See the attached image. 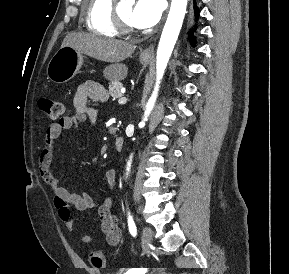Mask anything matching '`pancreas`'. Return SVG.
<instances>
[{
    "label": "pancreas",
    "instance_id": "obj_1",
    "mask_svg": "<svg viewBox=\"0 0 289 274\" xmlns=\"http://www.w3.org/2000/svg\"><path fill=\"white\" fill-rule=\"evenodd\" d=\"M121 88H122V84L121 83H119V82L112 83L109 86V92L108 93L113 99L120 98L122 96Z\"/></svg>",
    "mask_w": 289,
    "mask_h": 274
}]
</instances>
